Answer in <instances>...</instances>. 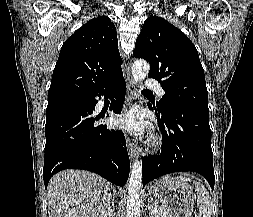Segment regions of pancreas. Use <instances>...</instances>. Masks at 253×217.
Masks as SVG:
<instances>
[{"label":"pancreas","instance_id":"1","mask_svg":"<svg viewBox=\"0 0 253 217\" xmlns=\"http://www.w3.org/2000/svg\"><path fill=\"white\" fill-rule=\"evenodd\" d=\"M160 208L162 211L159 214H155L154 217H173L163 206Z\"/></svg>","mask_w":253,"mask_h":217}]
</instances>
